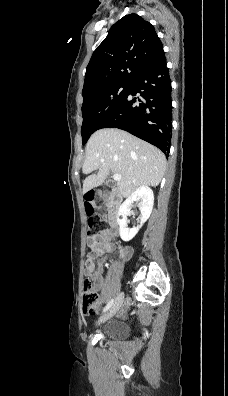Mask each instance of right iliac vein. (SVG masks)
<instances>
[{
  "label": "right iliac vein",
  "instance_id": "63e3f726",
  "mask_svg": "<svg viewBox=\"0 0 228 396\" xmlns=\"http://www.w3.org/2000/svg\"><path fill=\"white\" fill-rule=\"evenodd\" d=\"M124 301V295L123 293L119 294L118 297L116 298L113 306L111 307L110 311L103 315L100 319L99 322H104L106 320H108L109 318H111L113 315H115L119 309L121 308L122 304Z\"/></svg>",
  "mask_w": 228,
  "mask_h": 396
}]
</instances>
